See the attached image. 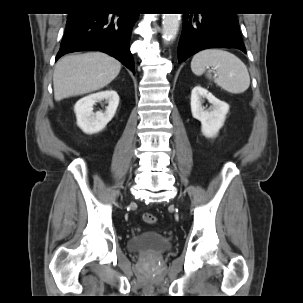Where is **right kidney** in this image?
<instances>
[{
    "instance_id": "ca27d5eb",
    "label": "right kidney",
    "mask_w": 303,
    "mask_h": 303,
    "mask_svg": "<svg viewBox=\"0 0 303 303\" xmlns=\"http://www.w3.org/2000/svg\"><path fill=\"white\" fill-rule=\"evenodd\" d=\"M106 100L108 106L105 112H93V106ZM119 105V96L114 90H106L81 98L74 106L77 125L86 134H94L103 130L114 117Z\"/></svg>"
}]
</instances>
